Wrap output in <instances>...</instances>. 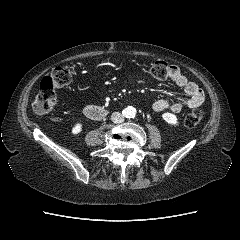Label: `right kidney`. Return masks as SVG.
<instances>
[{"instance_id":"1","label":"right kidney","mask_w":240,"mask_h":240,"mask_svg":"<svg viewBox=\"0 0 240 240\" xmlns=\"http://www.w3.org/2000/svg\"><path fill=\"white\" fill-rule=\"evenodd\" d=\"M82 124L81 123H76L73 128H72V134L76 135L79 134L82 131Z\"/></svg>"}]
</instances>
